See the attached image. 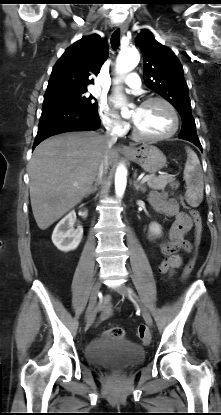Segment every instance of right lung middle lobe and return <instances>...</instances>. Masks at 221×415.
<instances>
[{
    "label": "right lung middle lobe",
    "mask_w": 221,
    "mask_h": 415,
    "mask_svg": "<svg viewBox=\"0 0 221 415\" xmlns=\"http://www.w3.org/2000/svg\"><path fill=\"white\" fill-rule=\"evenodd\" d=\"M87 89L62 90L44 95L43 104H66L97 112V101L92 95H86Z\"/></svg>",
    "instance_id": "1"
}]
</instances>
